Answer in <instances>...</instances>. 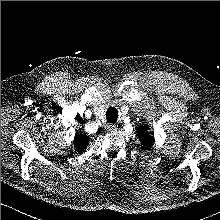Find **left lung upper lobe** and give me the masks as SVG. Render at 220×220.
I'll return each mask as SVG.
<instances>
[{
  "label": "left lung upper lobe",
  "mask_w": 220,
  "mask_h": 220,
  "mask_svg": "<svg viewBox=\"0 0 220 220\" xmlns=\"http://www.w3.org/2000/svg\"><path fill=\"white\" fill-rule=\"evenodd\" d=\"M148 126L144 125L137 129V135L145 149L151 148L154 143V136L151 135V132H147Z\"/></svg>",
  "instance_id": "5c2ea615"
}]
</instances>
